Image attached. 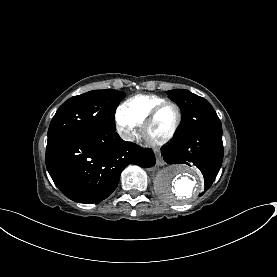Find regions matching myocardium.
Here are the masks:
<instances>
[{
	"label": "myocardium",
	"instance_id": "obj_1",
	"mask_svg": "<svg viewBox=\"0 0 277 277\" xmlns=\"http://www.w3.org/2000/svg\"><path fill=\"white\" fill-rule=\"evenodd\" d=\"M168 106H173L176 109V113H177V120L176 123L174 125V127L172 128V130L169 132V134H167L165 137L160 138V139H151L147 136V133L149 131V129L152 127V125L155 123L159 113L166 107ZM182 119H183V115H182V111L181 108L179 107V105L173 101H165L162 102L160 104H158L148 115V117L146 118V120L143 122L142 127H141V131L143 136L153 145H162L164 143H167L168 141H170L178 132L181 123H182Z\"/></svg>",
	"mask_w": 277,
	"mask_h": 277
}]
</instances>
